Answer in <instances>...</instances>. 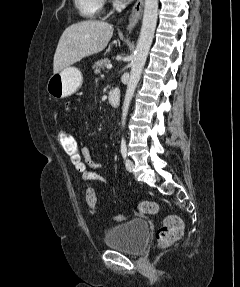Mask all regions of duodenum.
I'll return each mask as SVG.
<instances>
[{
  "mask_svg": "<svg viewBox=\"0 0 240 287\" xmlns=\"http://www.w3.org/2000/svg\"><path fill=\"white\" fill-rule=\"evenodd\" d=\"M108 101L113 107L120 104V91L118 88H113L108 93Z\"/></svg>",
  "mask_w": 240,
  "mask_h": 287,
  "instance_id": "obj_1",
  "label": "duodenum"
}]
</instances>
